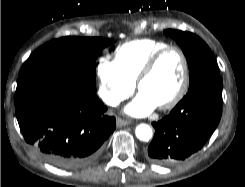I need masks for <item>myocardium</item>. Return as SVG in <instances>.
<instances>
[{
	"label": "myocardium",
	"mask_w": 245,
	"mask_h": 187,
	"mask_svg": "<svg viewBox=\"0 0 245 187\" xmlns=\"http://www.w3.org/2000/svg\"><path fill=\"white\" fill-rule=\"evenodd\" d=\"M170 51H175L179 54L183 65V74L180 86L176 93L168 101L157 106L160 110H168L175 107L187 93L190 79V71L189 62L184 51L180 47L175 45H169L162 49H159L145 63L135 82L136 89L140 90L141 84L152 74L159 60Z\"/></svg>",
	"instance_id": "obj_1"
}]
</instances>
